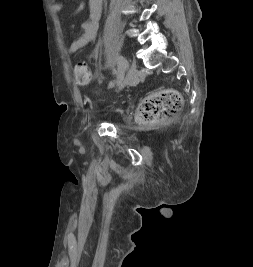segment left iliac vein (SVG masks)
Returning <instances> with one entry per match:
<instances>
[{"mask_svg": "<svg viewBox=\"0 0 253 267\" xmlns=\"http://www.w3.org/2000/svg\"><path fill=\"white\" fill-rule=\"evenodd\" d=\"M122 55H119L118 58H120ZM126 68L128 69V74L126 76V83L130 85H134L138 83V80L136 78V66L135 63H127ZM125 68V69H126Z\"/></svg>", "mask_w": 253, "mask_h": 267, "instance_id": "obj_1", "label": "left iliac vein"}]
</instances>
